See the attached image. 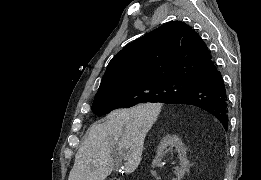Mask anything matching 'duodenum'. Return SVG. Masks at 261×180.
<instances>
[{"label": "duodenum", "instance_id": "duodenum-1", "mask_svg": "<svg viewBox=\"0 0 261 180\" xmlns=\"http://www.w3.org/2000/svg\"><path fill=\"white\" fill-rule=\"evenodd\" d=\"M113 180H120V178L119 177H114Z\"/></svg>", "mask_w": 261, "mask_h": 180}]
</instances>
